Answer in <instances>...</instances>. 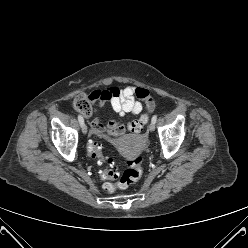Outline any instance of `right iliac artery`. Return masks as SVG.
Segmentation results:
<instances>
[{"label": "right iliac artery", "instance_id": "obj_1", "mask_svg": "<svg viewBox=\"0 0 248 248\" xmlns=\"http://www.w3.org/2000/svg\"><path fill=\"white\" fill-rule=\"evenodd\" d=\"M78 121H79L81 126L84 124V119L81 115H78Z\"/></svg>", "mask_w": 248, "mask_h": 248}]
</instances>
